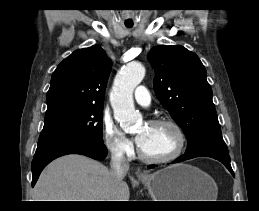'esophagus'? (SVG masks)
Listing matches in <instances>:
<instances>
[{"label":"esophagus","mask_w":259,"mask_h":211,"mask_svg":"<svg viewBox=\"0 0 259 211\" xmlns=\"http://www.w3.org/2000/svg\"><path fill=\"white\" fill-rule=\"evenodd\" d=\"M136 175H137L139 178H141V179H143V178L146 177V174H144V173L141 172L140 170H137V171H136Z\"/></svg>","instance_id":"34e87169"}]
</instances>
